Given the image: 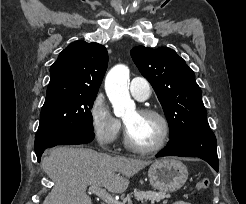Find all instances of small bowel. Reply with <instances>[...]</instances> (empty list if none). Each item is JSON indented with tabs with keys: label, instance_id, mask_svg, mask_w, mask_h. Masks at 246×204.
Wrapping results in <instances>:
<instances>
[{
	"label": "small bowel",
	"instance_id": "small-bowel-1",
	"mask_svg": "<svg viewBox=\"0 0 246 204\" xmlns=\"http://www.w3.org/2000/svg\"><path fill=\"white\" fill-rule=\"evenodd\" d=\"M173 204H191V203L185 202V201H177V202H174Z\"/></svg>",
	"mask_w": 246,
	"mask_h": 204
}]
</instances>
